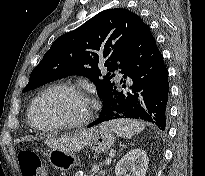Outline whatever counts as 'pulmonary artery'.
<instances>
[{"label":"pulmonary artery","instance_id":"e3ab8cb5","mask_svg":"<svg viewBox=\"0 0 205 176\" xmlns=\"http://www.w3.org/2000/svg\"><path fill=\"white\" fill-rule=\"evenodd\" d=\"M121 77H122V74L119 73V74H118V79H120Z\"/></svg>","mask_w":205,"mask_h":176}]
</instances>
